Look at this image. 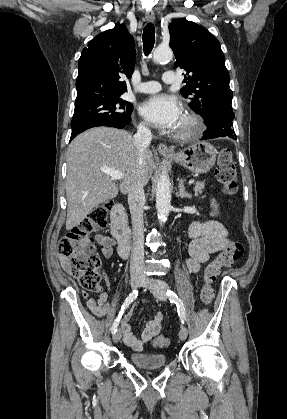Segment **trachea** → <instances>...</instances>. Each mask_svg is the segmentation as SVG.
Masks as SVG:
<instances>
[{
    "mask_svg": "<svg viewBox=\"0 0 287 419\" xmlns=\"http://www.w3.org/2000/svg\"><path fill=\"white\" fill-rule=\"evenodd\" d=\"M154 43H155V27L152 23H148L144 27V31H143V48H144V53L146 56H148L151 53L154 47Z\"/></svg>",
    "mask_w": 287,
    "mask_h": 419,
    "instance_id": "3493384b",
    "label": "trachea"
}]
</instances>
